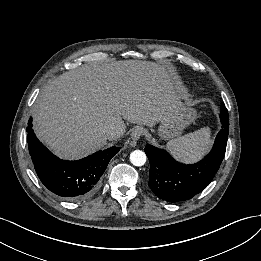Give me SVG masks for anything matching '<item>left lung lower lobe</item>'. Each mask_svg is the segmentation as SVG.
Wrapping results in <instances>:
<instances>
[{"label": "left lung lower lobe", "mask_w": 261, "mask_h": 261, "mask_svg": "<svg viewBox=\"0 0 261 261\" xmlns=\"http://www.w3.org/2000/svg\"><path fill=\"white\" fill-rule=\"evenodd\" d=\"M222 129L218 133L210 153L195 164H182L168 152L146 145L145 153L150 162L149 187L161 200L180 202L199 194L212 180L224 158L229 133V117L222 108Z\"/></svg>", "instance_id": "0a47b994"}]
</instances>
